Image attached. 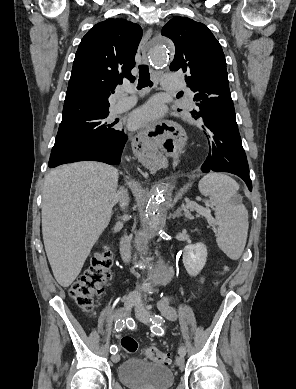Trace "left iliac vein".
<instances>
[{"label":"left iliac vein","instance_id":"1","mask_svg":"<svg viewBox=\"0 0 296 389\" xmlns=\"http://www.w3.org/2000/svg\"><path fill=\"white\" fill-rule=\"evenodd\" d=\"M135 312H136V317L138 320H140L143 323L148 324L149 323V317H150V312L145 308L143 303L141 301H138L135 305ZM176 364L177 366H182L184 364V356L179 355L176 357Z\"/></svg>","mask_w":296,"mask_h":389}]
</instances>
